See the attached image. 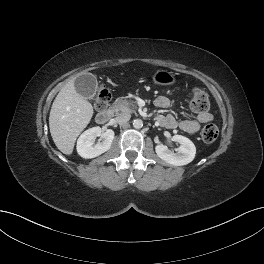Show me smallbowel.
<instances>
[{
  "mask_svg": "<svg viewBox=\"0 0 264 264\" xmlns=\"http://www.w3.org/2000/svg\"><path fill=\"white\" fill-rule=\"evenodd\" d=\"M154 103L159 108H169L172 105L171 100L163 95L158 96L155 99ZM212 119L213 116L209 112L201 113L198 114L195 118L181 121H177L173 115H159L157 117V121L160 125L169 129L178 127L179 129L190 135L196 134L200 130V127L202 125L211 122Z\"/></svg>",
  "mask_w": 264,
  "mask_h": 264,
  "instance_id": "small-bowel-1",
  "label": "small bowel"
}]
</instances>
